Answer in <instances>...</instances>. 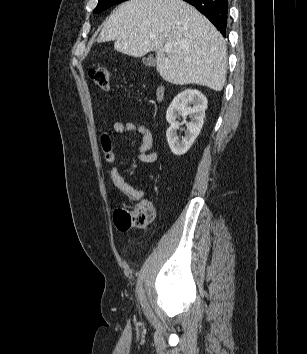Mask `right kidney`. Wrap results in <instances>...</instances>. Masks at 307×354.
I'll return each mask as SVG.
<instances>
[{"instance_id": "1", "label": "right kidney", "mask_w": 307, "mask_h": 354, "mask_svg": "<svg viewBox=\"0 0 307 354\" xmlns=\"http://www.w3.org/2000/svg\"><path fill=\"white\" fill-rule=\"evenodd\" d=\"M206 109L207 98L196 89H186L173 99L166 112V120L170 124L166 137L173 154L181 156L190 149L202 129ZM188 115L191 122L187 123V131L180 140L177 118L182 116L185 119Z\"/></svg>"}]
</instances>
